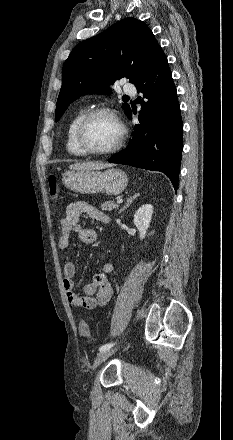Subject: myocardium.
<instances>
[{
  "instance_id": "obj_1",
  "label": "myocardium",
  "mask_w": 233,
  "mask_h": 440,
  "mask_svg": "<svg viewBox=\"0 0 233 440\" xmlns=\"http://www.w3.org/2000/svg\"><path fill=\"white\" fill-rule=\"evenodd\" d=\"M97 115H108L110 116L117 124L119 128V136L115 144L106 149V150H95L87 146L84 142V131L89 123V121L97 116ZM126 137V128L122 121L120 120L118 114L115 110L108 107H97L94 109H90L84 113V115L79 120L76 129H75V141L79 149L86 155H94V156H106L111 155L117 152L123 145Z\"/></svg>"
}]
</instances>
